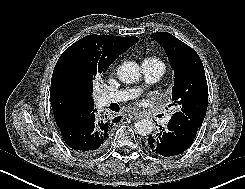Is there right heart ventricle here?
Listing matches in <instances>:
<instances>
[{
	"label": "right heart ventricle",
	"mask_w": 245,
	"mask_h": 189,
	"mask_svg": "<svg viewBox=\"0 0 245 189\" xmlns=\"http://www.w3.org/2000/svg\"><path fill=\"white\" fill-rule=\"evenodd\" d=\"M145 60H148V61H160L158 58L156 57H147Z\"/></svg>",
	"instance_id": "1"
}]
</instances>
